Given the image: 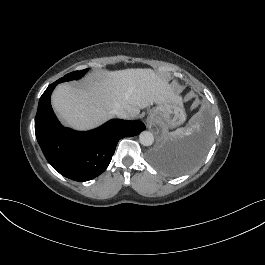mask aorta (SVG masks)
Here are the masks:
<instances>
[{"label": "aorta", "mask_w": 265, "mask_h": 265, "mask_svg": "<svg viewBox=\"0 0 265 265\" xmlns=\"http://www.w3.org/2000/svg\"><path fill=\"white\" fill-rule=\"evenodd\" d=\"M139 141L143 146H150L154 142V136L149 131H143L139 135Z\"/></svg>", "instance_id": "1"}]
</instances>
